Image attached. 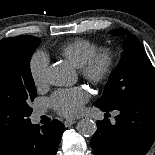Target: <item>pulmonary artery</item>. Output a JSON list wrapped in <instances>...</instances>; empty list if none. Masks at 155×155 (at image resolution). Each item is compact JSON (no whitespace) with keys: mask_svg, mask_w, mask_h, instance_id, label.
Masks as SVG:
<instances>
[{"mask_svg":"<svg viewBox=\"0 0 155 155\" xmlns=\"http://www.w3.org/2000/svg\"><path fill=\"white\" fill-rule=\"evenodd\" d=\"M42 113H43L42 111L37 112V114H36L37 117L40 116Z\"/></svg>","mask_w":155,"mask_h":155,"instance_id":"e3ab8cb5","label":"pulmonary artery"}]
</instances>
